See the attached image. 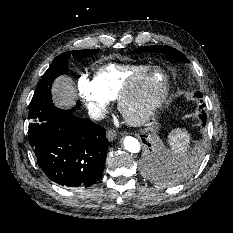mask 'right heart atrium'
<instances>
[{
  "instance_id": "obj_1",
  "label": "right heart atrium",
  "mask_w": 233,
  "mask_h": 233,
  "mask_svg": "<svg viewBox=\"0 0 233 233\" xmlns=\"http://www.w3.org/2000/svg\"><path fill=\"white\" fill-rule=\"evenodd\" d=\"M79 98L92 119H99L106 112L108 100L103 96L94 79L86 75L79 77L77 82Z\"/></svg>"
}]
</instances>
